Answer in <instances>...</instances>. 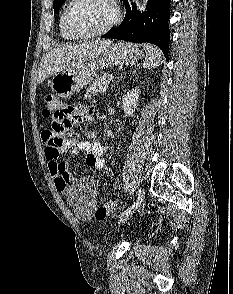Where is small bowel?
<instances>
[{
	"instance_id": "c3829d8e",
	"label": "small bowel",
	"mask_w": 233,
	"mask_h": 294,
	"mask_svg": "<svg viewBox=\"0 0 233 294\" xmlns=\"http://www.w3.org/2000/svg\"><path fill=\"white\" fill-rule=\"evenodd\" d=\"M81 106V107H80ZM90 103L64 104L61 110H53L48 117L49 129L42 132L45 155L56 189L62 193L75 215L82 221L93 219L97 207L98 181L92 176L76 178L69 174L68 162L59 160V154L80 155L86 153V163L93 169L103 171L107 177L111 170L106 165L101 143L94 139V132L88 134L89 140L68 139L74 137L72 126L78 122H91L93 108Z\"/></svg>"
}]
</instances>
